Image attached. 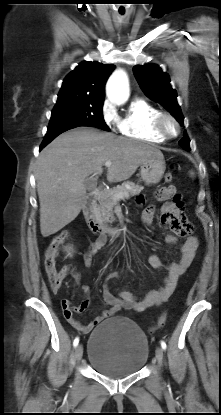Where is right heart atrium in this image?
Wrapping results in <instances>:
<instances>
[{
  "mask_svg": "<svg viewBox=\"0 0 221 415\" xmlns=\"http://www.w3.org/2000/svg\"><path fill=\"white\" fill-rule=\"evenodd\" d=\"M101 116L104 124L110 128L115 129L118 127L119 117L118 114L113 107V105L109 102H105L102 110H101Z\"/></svg>",
  "mask_w": 221,
  "mask_h": 415,
  "instance_id": "right-heart-atrium-1",
  "label": "right heart atrium"
}]
</instances>
